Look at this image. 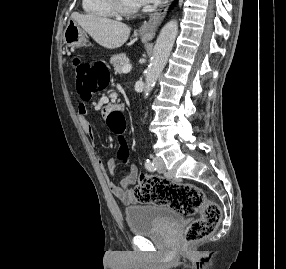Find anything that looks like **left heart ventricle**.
<instances>
[{
  "instance_id": "left-heart-ventricle-1",
  "label": "left heart ventricle",
  "mask_w": 286,
  "mask_h": 269,
  "mask_svg": "<svg viewBox=\"0 0 286 269\" xmlns=\"http://www.w3.org/2000/svg\"><path fill=\"white\" fill-rule=\"evenodd\" d=\"M123 1L129 7L139 6L137 0H123Z\"/></svg>"
}]
</instances>
